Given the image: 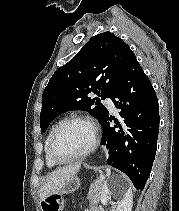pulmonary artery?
I'll list each match as a JSON object with an SVG mask.
<instances>
[{"instance_id":"e3ab8cb5","label":"pulmonary artery","mask_w":179,"mask_h":211,"mask_svg":"<svg viewBox=\"0 0 179 211\" xmlns=\"http://www.w3.org/2000/svg\"><path fill=\"white\" fill-rule=\"evenodd\" d=\"M105 104L108 106V108L111 110V111H116V107H115V104L113 102V100L111 98H106L105 99Z\"/></svg>"}]
</instances>
